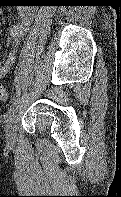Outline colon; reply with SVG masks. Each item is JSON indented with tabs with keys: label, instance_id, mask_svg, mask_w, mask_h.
<instances>
[{
	"label": "colon",
	"instance_id": "1",
	"mask_svg": "<svg viewBox=\"0 0 121 197\" xmlns=\"http://www.w3.org/2000/svg\"><path fill=\"white\" fill-rule=\"evenodd\" d=\"M0 100L4 102H7L9 100V94L6 92L2 83H0Z\"/></svg>",
	"mask_w": 121,
	"mask_h": 197
}]
</instances>
